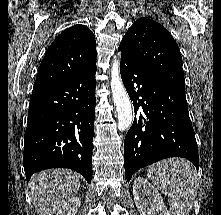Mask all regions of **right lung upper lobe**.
<instances>
[{
  "mask_svg": "<svg viewBox=\"0 0 221 215\" xmlns=\"http://www.w3.org/2000/svg\"><path fill=\"white\" fill-rule=\"evenodd\" d=\"M94 34L84 25L63 31L48 48L34 83L35 89L67 80L96 62Z\"/></svg>",
  "mask_w": 221,
  "mask_h": 215,
  "instance_id": "cb5924a9",
  "label": "right lung upper lobe"
}]
</instances>
